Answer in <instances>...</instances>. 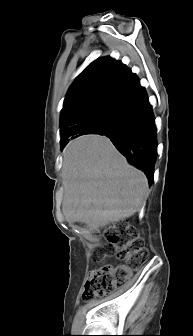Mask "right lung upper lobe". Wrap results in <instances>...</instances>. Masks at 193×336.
Instances as JSON below:
<instances>
[{
	"instance_id": "obj_1",
	"label": "right lung upper lobe",
	"mask_w": 193,
	"mask_h": 336,
	"mask_svg": "<svg viewBox=\"0 0 193 336\" xmlns=\"http://www.w3.org/2000/svg\"><path fill=\"white\" fill-rule=\"evenodd\" d=\"M136 76L121 62L110 57L91 63L70 87L61 112V146L83 133H73L74 122L101 110H112Z\"/></svg>"
}]
</instances>
